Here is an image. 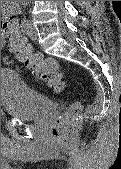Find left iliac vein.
Listing matches in <instances>:
<instances>
[{
    "label": "left iliac vein",
    "mask_w": 121,
    "mask_h": 169,
    "mask_svg": "<svg viewBox=\"0 0 121 169\" xmlns=\"http://www.w3.org/2000/svg\"><path fill=\"white\" fill-rule=\"evenodd\" d=\"M25 32L32 40H36L38 38L37 30L31 21H29L27 30Z\"/></svg>",
    "instance_id": "4c4485c4"
}]
</instances>
